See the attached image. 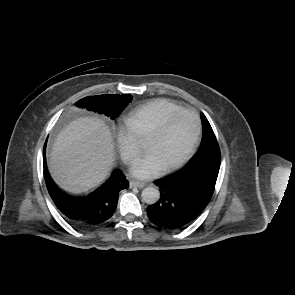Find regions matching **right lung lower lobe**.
<instances>
[{
	"mask_svg": "<svg viewBox=\"0 0 295 295\" xmlns=\"http://www.w3.org/2000/svg\"><path fill=\"white\" fill-rule=\"evenodd\" d=\"M44 177L48 192L64 218L80 229H89L105 223L114 213L119 191L129 187L125 175L116 170L108 181L87 197L67 195L54 186L46 166L45 147L43 151Z\"/></svg>",
	"mask_w": 295,
	"mask_h": 295,
	"instance_id": "1",
	"label": "right lung lower lobe"
}]
</instances>
